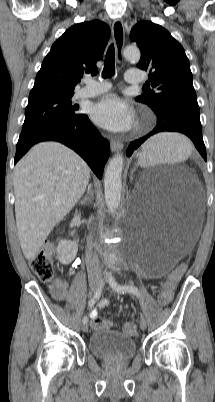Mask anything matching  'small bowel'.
Instances as JSON below:
<instances>
[{"label": "small bowel", "instance_id": "small-bowel-1", "mask_svg": "<svg viewBox=\"0 0 215 402\" xmlns=\"http://www.w3.org/2000/svg\"><path fill=\"white\" fill-rule=\"evenodd\" d=\"M57 285H59V286L61 287L62 291H64V290L66 289V284H65L64 282H59ZM108 303H109L108 300H103V301L100 303V306H101V307L106 306ZM96 315H97L96 310H91V311H90V316H91V318H95Z\"/></svg>", "mask_w": 215, "mask_h": 402}]
</instances>
